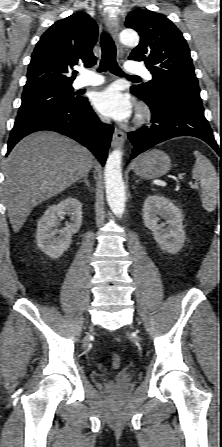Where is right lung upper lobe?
<instances>
[{
    "label": "right lung upper lobe",
    "instance_id": "cb5924a9",
    "mask_svg": "<svg viewBox=\"0 0 222 447\" xmlns=\"http://www.w3.org/2000/svg\"><path fill=\"white\" fill-rule=\"evenodd\" d=\"M98 27L84 12L55 22L40 38L31 56L24 92L71 86L75 78L66 76L79 61L93 66L92 48Z\"/></svg>",
    "mask_w": 222,
    "mask_h": 447
}]
</instances>
